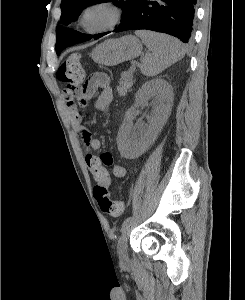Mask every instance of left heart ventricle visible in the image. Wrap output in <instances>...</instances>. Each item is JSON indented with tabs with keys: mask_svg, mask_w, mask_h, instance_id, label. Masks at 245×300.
I'll use <instances>...</instances> for the list:
<instances>
[{
	"mask_svg": "<svg viewBox=\"0 0 245 300\" xmlns=\"http://www.w3.org/2000/svg\"><path fill=\"white\" fill-rule=\"evenodd\" d=\"M110 19V15L106 10L97 9L91 11L86 17V25L90 28H97L105 25Z\"/></svg>",
	"mask_w": 245,
	"mask_h": 300,
	"instance_id": "b2bd125f",
	"label": "left heart ventricle"
}]
</instances>
